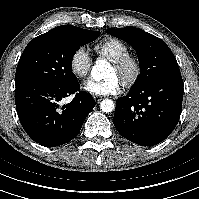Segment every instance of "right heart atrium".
Segmentation results:
<instances>
[{"mask_svg": "<svg viewBox=\"0 0 199 199\" xmlns=\"http://www.w3.org/2000/svg\"><path fill=\"white\" fill-rule=\"evenodd\" d=\"M92 60L89 51L85 47H79L70 58L71 72L78 79H85L91 69Z\"/></svg>", "mask_w": 199, "mask_h": 199, "instance_id": "1", "label": "right heart atrium"}]
</instances>
